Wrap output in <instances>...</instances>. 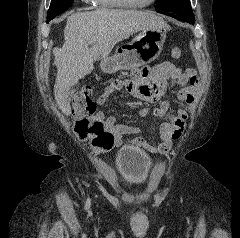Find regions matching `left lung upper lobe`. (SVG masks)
<instances>
[{"instance_id":"left-lung-upper-lobe-1","label":"left lung upper lobe","mask_w":240,"mask_h":238,"mask_svg":"<svg viewBox=\"0 0 240 238\" xmlns=\"http://www.w3.org/2000/svg\"><path fill=\"white\" fill-rule=\"evenodd\" d=\"M156 10L160 13H173L194 18L190 0H157Z\"/></svg>"}]
</instances>
